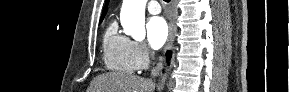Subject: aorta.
<instances>
[{
	"mask_svg": "<svg viewBox=\"0 0 289 92\" xmlns=\"http://www.w3.org/2000/svg\"><path fill=\"white\" fill-rule=\"evenodd\" d=\"M147 0H123L120 20L124 32L136 40L145 37V7Z\"/></svg>",
	"mask_w": 289,
	"mask_h": 92,
	"instance_id": "aorta-1",
	"label": "aorta"
}]
</instances>
